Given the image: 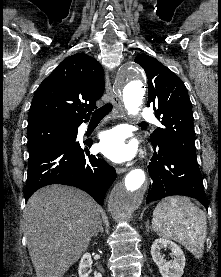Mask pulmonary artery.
<instances>
[{"instance_id":"obj_1","label":"pulmonary artery","mask_w":221,"mask_h":277,"mask_svg":"<svg viewBox=\"0 0 221 277\" xmlns=\"http://www.w3.org/2000/svg\"><path fill=\"white\" fill-rule=\"evenodd\" d=\"M141 116L146 121H155V117H154L152 111L149 109H144L141 113Z\"/></svg>"}]
</instances>
